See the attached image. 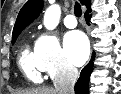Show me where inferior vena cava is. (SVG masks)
<instances>
[{
  "mask_svg": "<svg viewBox=\"0 0 121 94\" xmlns=\"http://www.w3.org/2000/svg\"><path fill=\"white\" fill-rule=\"evenodd\" d=\"M78 76V70L74 66L70 64L64 66L60 75L54 82L57 93L74 94V85Z\"/></svg>",
  "mask_w": 121,
  "mask_h": 94,
  "instance_id": "obj_1",
  "label": "inferior vena cava"
}]
</instances>
